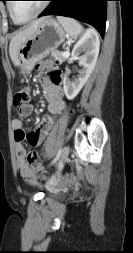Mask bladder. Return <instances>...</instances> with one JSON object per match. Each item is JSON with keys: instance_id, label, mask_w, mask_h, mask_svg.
<instances>
[{"instance_id": "obj_1", "label": "bladder", "mask_w": 133, "mask_h": 253, "mask_svg": "<svg viewBox=\"0 0 133 253\" xmlns=\"http://www.w3.org/2000/svg\"><path fill=\"white\" fill-rule=\"evenodd\" d=\"M49 195H50V197H53V198H58V197H60V196H61V193H60V192H58V191H54V190H52V191H50V192H49Z\"/></svg>"}]
</instances>
